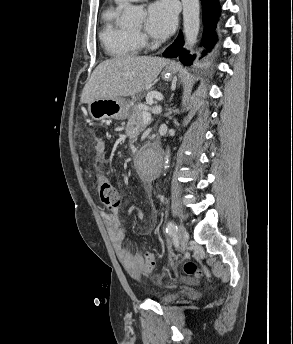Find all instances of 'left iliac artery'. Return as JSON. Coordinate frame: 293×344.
Listing matches in <instances>:
<instances>
[{
    "label": "left iliac artery",
    "instance_id": "obj_1",
    "mask_svg": "<svg viewBox=\"0 0 293 344\" xmlns=\"http://www.w3.org/2000/svg\"><path fill=\"white\" fill-rule=\"evenodd\" d=\"M177 229H178L177 225L173 221H170L167 224L166 232L169 235H173L177 231Z\"/></svg>",
    "mask_w": 293,
    "mask_h": 344
}]
</instances>
